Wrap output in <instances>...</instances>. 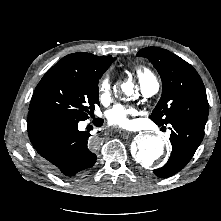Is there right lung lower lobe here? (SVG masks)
Returning <instances> with one entry per match:
<instances>
[{"mask_svg": "<svg viewBox=\"0 0 221 221\" xmlns=\"http://www.w3.org/2000/svg\"><path fill=\"white\" fill-rule=\"evenodd\" d=\"M81 120L68 115L31 110L28 135L43 164L54 174L73 177L96 162L94 145L88 131H79ZM103 120L97 119L96 125Z\"/></svg>", "mask_w": 221, "mask_h": 221, "instance_id": "98d812e1", "label": "right lung lower lobe"}]
</instances>
